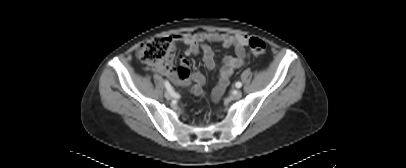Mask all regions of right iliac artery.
I'll return each mask as SVG.
<instances>
[{
	"label": "right iliac artery",
	"instance_id": "1",
	"mask_svg": "<svg viewBox=\"0 0 406 168\" xmlns=\"http://www.w3.org/2000/svg\"><path fill=\"white\" fill-rule=\"evenodd\" d=\"M165 87L167 89V91L174 97L177 96V94L174 92L173 88L171 87L170 83L166 80L165 82Z\"/></svg>",
	"mask_w": 406,
	"mask_h": 168
}]
</instances>
